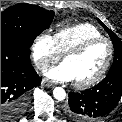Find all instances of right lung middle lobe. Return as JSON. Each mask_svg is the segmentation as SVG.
Returning <instances> with one entry per match:
<instances>
[{
	"mask_svg": "<svg viewBox=\"0 0 122 122\" xmlns=\"http://www.w3.org/2000/svg\"><path fill=\"white\" fill-rule=\"evenodd\" d=\"M54 11L31 4H17L1 13V39H14L31 47L35 38L49 28Z\"/></svg>",
	"mask_w": 122,
	"mask_h": 122,
	"instance_id": "dd1d6c3e",
	"label": "right lung middle lobe"
}]
</instances>
